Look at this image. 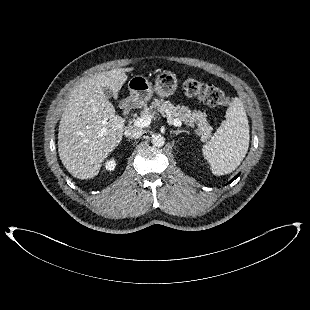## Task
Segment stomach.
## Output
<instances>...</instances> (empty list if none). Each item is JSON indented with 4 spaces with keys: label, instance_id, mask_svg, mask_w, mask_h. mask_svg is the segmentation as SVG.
<instances>
[{
    "label": "stomach",
    "instance_id": "obj_1",
    "mask_svg": "<svg viewBox=\"0 0 310 310\" xmlns=\"http://www.w3.org/2000/svg\"><path fill=\"white\" fill-rule=\"evenodd\" d=\"M128 88L134 104L144 105L154 92L162 98L173 95L177 89V77L170 71H162L156 76L153 85L143 75H137L129 80Z\"/></svg>",
    "mask_w": 310,
    "mask_h": 310
}]
</instances>
